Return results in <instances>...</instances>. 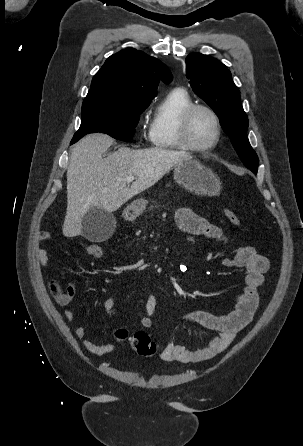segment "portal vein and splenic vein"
<instances>
[{
  "mask_svg": "<svg viewBox=\"0 0 303 446\" xmlns=\"http://www.w3.org/2000/svg\"><path fill=\"white\" fill-rule=\"evenodd\" d=\"M134 179H135L134 176H128V177L125 179V181H127V182H131V181H133Z\"/></svg>",
  "mask_w": 303,
  "mask_h": 446,
  "instance_id": "1",
  "label": "portal vein and splenic vein"
}]
</instances>
